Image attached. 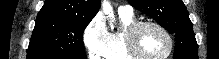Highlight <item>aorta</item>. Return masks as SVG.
Returning <instances> with one entry per match:
<instances>
[{
    "instance_id": "762f6f07",
    "label": "aorta",
    "mask_w": 219,
    "mask_h": 59,
    "mask_svg": "<svg viewBox=\"0 0 219 59\" xmlns=\"http://www.w3.org/2000/svg\"><path fill=\"white\" fill-rule=\"evenodd\" d=\"M101 7L103 9V12L108 15L110 18V23H113L115 20L113 8L108 0H103L101 3Z\"/></svg>"
}]
</instances>
